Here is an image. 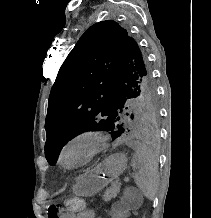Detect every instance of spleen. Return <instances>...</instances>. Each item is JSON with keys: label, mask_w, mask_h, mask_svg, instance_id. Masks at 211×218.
<instances>
[{"label": "spleen", "mask_w": 211, "mask_h": 218, "mask_svg": "<svg viewBox=\"0 0 211 218\" xmlns=\"http://www.w3.org/2000/svg\"><path fill=\"white\" fill-rule=\"evenodd\" d=\"M131 166L136 170L134 182L148 200H154L158 186L159 174L157 162L151 150H136Z\"/></svg>", "instance_id": "3e777b00"}]
</instances>
